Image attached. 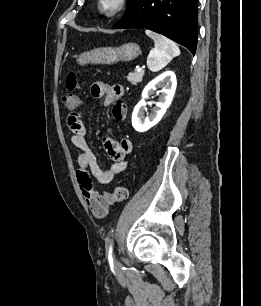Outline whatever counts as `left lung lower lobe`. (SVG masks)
I'll return each instance as SVG.
<instances>
[{
  "label": "left lung lower lobe",
  "instance_id": "1",
  "mask_svg": "<svg viewBox=\"0 0 261 306\" xmlns=\"http://www.w3.org/2000/svg\"><path fill=\"white\" fill-rule=\"evenodd\" d=\"M198 0H137L112 29L146 28L187 47H197Z\"/></svg>",
  "mask_w": 261,
  "mask_h": 306
}]
</instances>
